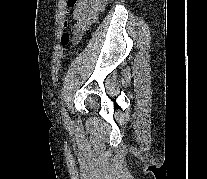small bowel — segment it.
<instances>
[{
  "label": "small bowel",
  "mask_w": 207,
  "mask_h": 179,
  "mask_svg": "<svg viewBox=\"0 0 207 179\" xmlns=\"http://www.w3.org/2000/svg\"><path fill=\"white\" fill-rule=\"evenodd\" d=\"M108 0H79L75 10V35L79 40L82 34L97 20Z\"/></svg>",
  "instance_id": "1"
}]
</instances>
